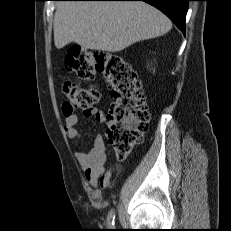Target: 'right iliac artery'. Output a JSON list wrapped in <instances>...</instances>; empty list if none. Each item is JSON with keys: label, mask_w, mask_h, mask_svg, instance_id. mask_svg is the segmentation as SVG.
<instances>
[{"label": "right iliac artery", "mask_w": 231, "mask_h": 231, "mask_svg": "<svg viewBox=\"0 0 231 231\" xmlns=\"http://www.w3.org/2000/svg\"><path fill=\"white\" fill-rule=\"evenodd\" d=\"M115 224V212L111 210L107 216V225L109 228H113Z\"/></svg>", "instance_id": "1"}]
</instances>
